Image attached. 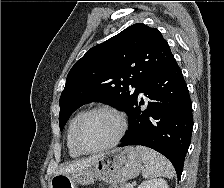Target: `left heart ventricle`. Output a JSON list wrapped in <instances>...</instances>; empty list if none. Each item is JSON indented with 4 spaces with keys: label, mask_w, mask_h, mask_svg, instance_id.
<instances>
[{
    "label": "left heart ventricle",
    "mask_w": 224,
    "mask_h": 188,
    "mask_svg": "<svg viewBox=\"0 0 224 188\" xmlns=\"http://www.w3.org/2000/svg\"><path fill=\"white\" fill-rule=\"evenodd\" d=\"M118 119L106 112H96L83 123L79 141L86 148H96L109 143L119 131Z\"/></svg>",
    "instance_id": "b2bd125f"
}]
</instances>
